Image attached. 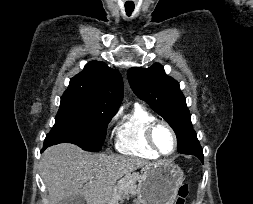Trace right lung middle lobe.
Returning <instances> with one entry per match:
<instances>
[{"label":"right lung middle lobe","mask_w":253,"mask_h":204,"mask_svg":"<svg viewBox=\"0 0 253 204\" xmlns=\"http://www.w3.org/2000/svg\"><path fill=\"white\" fill-rule=\"evenodd\" d=\"M114 111L63 94L55 125L47 134L44 144L73 143L86 151H100L105 140L107 125Z\"/></svg>","instance_id":"dd1d6c3e"}]
</instances>
